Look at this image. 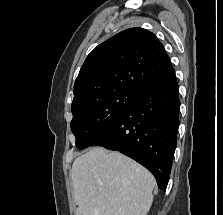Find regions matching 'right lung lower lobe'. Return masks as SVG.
I'll return each mask as SVG.
<instances>
[{"label": "right lung lower lobe", "instance_id": "right-lung-lower-lobe-1", "mask_svg": "<svg viewBox=\"0 0 223 215\" xmlns=\"http://www.w3.org/2000/svg\"><path fill=\"white\" fill-rule=\"evenodd\" d=\"M176 76L138 94L120 119L91 146L119 151L146 167L166 190L179 127Z\"/></svg>", "mask_w": 223, "mask_h": 215}]
</instances>
